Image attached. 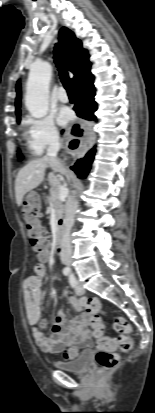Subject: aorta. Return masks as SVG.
I'll return each mask as SVG.
<instances>
[{
    "label": "aorta",
    "mask_w": 155,
    "mask_h": 413,
    "mask_svg": "<svg viewBox=\"0 0 155 413\" xmlns=\"http://www.w3.org/2000/svg\"><path fill=\"white\" fill-rule=\"evenodd\" d=\"M51 74L52 67L48 62H40L30 69L26 84L25 106L35 118H42L48 112Z\"/></svg>",
    "instance_id": "aorta-1"
}]
</instances>
